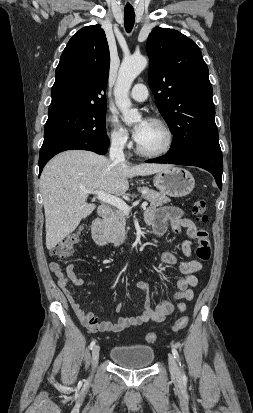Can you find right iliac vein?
I'll return each mask as SVG.
<instances>
[{"label":"right iliac vein","instance_id":"obj_1","mask_svg":"<svg viewBox=\"0 0 253 413\" xmlns=\"http://www.w3.org/2000/svg\"><path fill=\"white\" fill-rule=\"evenodd\" d=\"M99 352H100V347L98 345L94 346V348L92 350V364H93V366H96L97 363H98Z\"/></svg>","mask_w":253,"mask_h":413}]
</instances>
